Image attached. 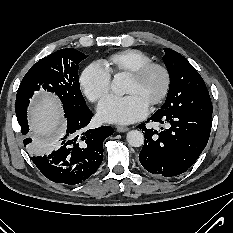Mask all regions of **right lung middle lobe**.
Segmentation results:
<instances>
[{"mask_svg": "<svg viewBox=\"0 0 233 233\" xmlns=\"http://www.w3.org/2000/svg\"><path fill=\"white\" fill-rule=\"evenodd\" d=\"M87 56L80 51L68 48L39 60L24 76L16 96L15 111L23 135L27 134V107L35 91L55 93L62 101L65 112H77L87 108L82 96L78 68ZM58 136L48 141H37L40 150L53 146Z\"/></svg>", "mask_w": 233, "mask_h": 233, "instance_id": "1", "label": "right lung middle lobe"}]
</instances>
